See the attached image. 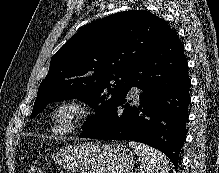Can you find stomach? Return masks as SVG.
Listing matches in <instances>:
<instances>
[{
  "mask_svg": "<svg viewBox=\"0 0 219 173\" xmlns=\"http://www.w3.org/2000/svg\"><path fill=\"white\" fill-rule=\"evenodd\" d=\"M57 164L72 173H130L133 153L121 144H69L53 153Z\"/></svg>",
  "mask_w": 219,
  "mask_h": 173,
  "instance_id": "1",
  "label": "stomach"
}]
</instances>
